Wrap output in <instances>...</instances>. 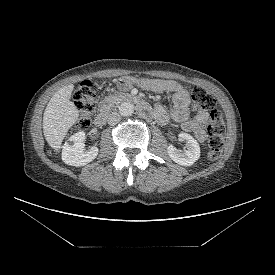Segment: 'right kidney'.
<instances>
[{
	"label": "right kidney",
	"instance_id": "right-kidney-1",
	"mask_svg": "<svg viewBox=\"0 0 275 275\" xmlns=\"http://www.w3.org/2000/svg\"><path fill=\"white\" fill-rule=\"evenodd\" d=\"M86 139L85 132L81 131L69 138L73 142L72 145L65 143L62 150V160L65 164L71 166H84L93 161L98 155V148L91 147L88 151L84 152V141Z\"/></svg>",
	"mask_w": 275,
	"mask_h": 275
}]
</instances>
